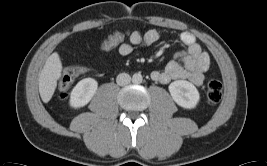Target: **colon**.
Here are the masks:
<instances>
[{"label": "colon", "instance_id": "colon-1", "mask_svg": "<svg viewBox=\"0 0 267 166\" xmlns=\"http://www.w3.org/2000/svg\"><path fill=\"white\" fill-rule=\"evenodd\" d=\"M124 38L122 34L115 32L111 36L103 41L101 48L103 50H110L114 47L122 45ZM75 75L72 71L66 72L58 84V91L61 98H65L72 86ZM223 95V86L216 79H209L206 85V101L210 105L217 104Z\"/></svg>", "mask_w": 267, "mask_h": 166}]
</instances>
